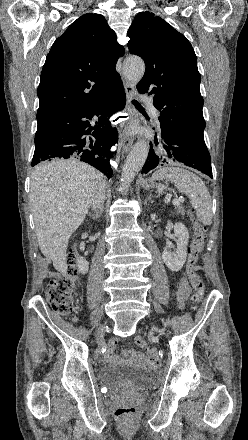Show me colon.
<instances>
[{"instance_id": "obj_1", "label": "colon", "mask_w": 248, "mask_h": 440, "mask_svg": "<svg viewBox=\"0 0 248 440\" xmlns=\"http://www.w3.org/2000/svg\"><path fill=\"white\" fill-rule=\"evenodd\" d=\"M194 222V236L188 251V260L186 272L190 283L194 289L192 302L198 306L205 293V284L198 274V259L204 247L205 227L199 223L192 214ZM68 267L65 274L57 279L51 280L47 286L46 298L51 308L60 316H71L75 310L73 298L74 289L78 282L77 257L75 251L71 249L67 259ZM135 344L139 348H147L144 338L138 336L135 338ZM135 408L122 406L116 409L115 414L118 417L131 416L135 413Z\"/></svg>"}]
</instances>
